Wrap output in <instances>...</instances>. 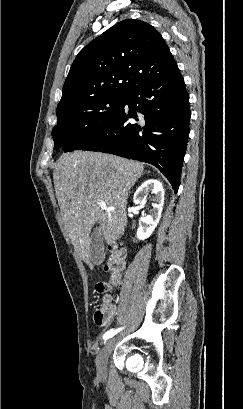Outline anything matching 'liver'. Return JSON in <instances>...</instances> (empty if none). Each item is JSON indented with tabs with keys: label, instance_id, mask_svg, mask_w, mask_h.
<instances>
[{
	"label": "liver",
	"instance_id": "liver-1",
	"mask_svg": "<svg viewBox=\"0 0 243 409\" xmlns=\"http://www.w3.org/2000/svg\"><path fill=\"white\" fill-rule=\"evenodd\" d=\"M143 170L139 162L99 152L76 151L57 160L53 180L62 220L75 250L90 268L92 228L99 224L107 243L124 234L128 194ZM100 200L108 210L101 209Z\"/></svg>",
	"mask_w": 243,
	"mask_h": 409
}]
</instances>
